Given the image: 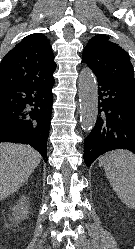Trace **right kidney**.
Returning <instances> with one entry per match:
<instances>
[{
    "label": "right kidney",
    "mask_w": 135,
    "mask_h": 249,
    "mask_svg": "<svg viewBox=\"0 0 135 249\" xmlns=\"http://www.w3.org/2000/svg\"><path fill=\"white\" fill-rule=\"evenodd\" d=\"M26 198L23 197L17 203L16 206L13 207V218L11 220L19 222L22 219H25L28 215V204L25 203Z\"/></svg>",
    "instance_id": "ca27d5eb"
}]
</instances>
